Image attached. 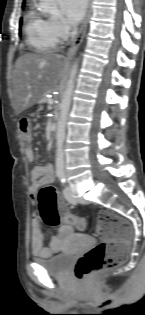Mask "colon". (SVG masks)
Returning <instances> with one entry per match:
<instances>
[{
  "mask_svg": "<svg viewBox=\"0 0 145 315\" xmlns=\"http://www.w3.org/2000/svg\"><path fill=\"white\" fill-rule=\"evenodd\" d=\"M22 142L28 146L32 138L31 120L23 117L19 121ZM39 210L42 220L50 226L66 223L83 230L87 222L68 212L66 204L56 189L50 185L39 189ZM97 233L101 242L86 252L75 265V275L79 280L89 282L103 272L117 267L125 258L131 241L130 223L112 211L103 210L98 215Z\"/></svg>",
  "mask_w": 145,
  "mask_h": 315,
  "instance_id": "colon-1",
  "label": "colon"
}]
</instances>
